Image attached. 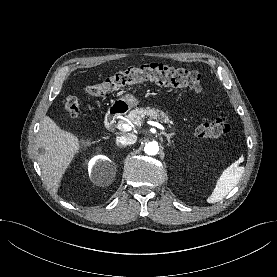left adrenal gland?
I'll return each mask as SVG.
<instances>
[{
  "instance_id": "1",
  "label": "left adrenal gland",
  "mask_w": 277,
  "mask_h": 277,
  "mask_svg": "<svg viewBox=\"0 0 277 277\" xmlns=\"http://www.w3.org/2000/svg\"><path fill=\"white\" fill-rule=\"evenodd\" d=\"M162 134L167 138L168 141V145H171V140L170 138L172 137V133H166V132H162Z\"/></svg>"
}]
</instances>
